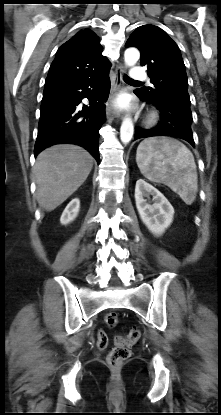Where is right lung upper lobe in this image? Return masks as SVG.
<instances>
[{"label": "right lung upper lobe", "mask_w": 221, "mask_h": 415, "mask_svg": "<svg viewBox=\"0 0 221 415\" xmlns=\"http://www.w3.org/2000/svg\"><path fill=\"white\" fill-rule=\"evenodd\" d=\"M102 51L98 36L89 29L81 30L58 49L45 86L93 78L109 71L111 63Z\"/></svg>", "instance_id": "cb5924a9"}]
</instances>
